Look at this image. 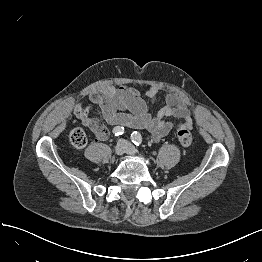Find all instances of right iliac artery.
Masks as SVG:
<instances>
[{
  "mask_svg": "<svg viewBox=\"0 0 262 262\" xmlns=\"http://www.w3.org/2000/svg\"><path fill=\"white\" fill-rule=\"evenodd\" d=\"M113 133L115 134V136H119L122 135L124 133V128L123 127H115L113 129Z\"/></svg>",
  "mask_w": 262,
  "mask_h": 262,
  "instance_id": "obj_1",
  "label": "right iliac artery"
}]
</instances>
